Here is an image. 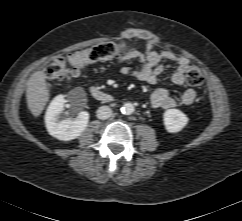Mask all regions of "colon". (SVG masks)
<instances>
[{
  "label": "colon",
  "mask_w": 242,
  "mask_h": 221,
  "mask_svg": "<svg viewBox=\"0 0 242 221\" xmlns=\"http://www.w3.org/2000/svg\"><path fill=\"white\" fill-rule=\"evenodd\" d=\"M132 51L124 42H105L91 48L74 51L66 57L54 58L45 69L47 79L63 80L70 75L79 74L86 66L95 62L106 61L124 53ZM186 80L191 86H200L204 76L202 70L196 65H190L186 71Z\"/></svg>",
  "instance_id": "1"
}]
</instances>
